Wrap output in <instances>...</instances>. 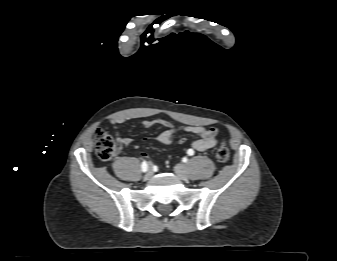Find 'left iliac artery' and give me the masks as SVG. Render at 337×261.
I'll list each match as a JSON object with an SVG mask.
<instances>
[{
    "mask_svg": "<svg viewBox=\"0 0 337 261\" xmlns=\"http://www.w3.org/2000/svg\"><path fill=\"white\" fill-rule=\"evenodd\" d=\"M187 153H188V155L192 156V155L194 154V151H193L192 149H189V150L187 151Z\"/></svg>",
    "mask_w": 337,
    "mask_h": 261,
    "instance_id": "left-iliac-artery-1",
    "label": "left iliac artery"
}]
</instances>
